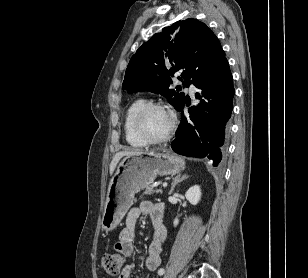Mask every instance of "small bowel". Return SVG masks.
Returning <instances> with one entry per match:
<instances>
[{
    "instance_id": "1",
    "label": "small bowel",
    "mask_w": 308,
    "mask_h": 278,
    "mask_svg": "<svg viewBox=\"0 0 308 278\" xmlns=\"http://www.w3.org/2000/svg\"><path fill=\"white\" fill-rule=\"evenodd\" d=\"M164 206L161 203H152L143 201L138 207L131 208L127 213L125 227L119 233L118 241L115 244L117 252L125 257L135 259L137 251L134 240L136 238V225L141 215H148L152 220L154 227L153 240L149 245L148 256L146 258V267L150 271H155L161 264L162 243L166 238V228L163 225ZM135 264L130 262L121 270L118 278H132V272Z\"/></svg>"
}]
</instances>
